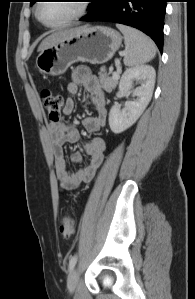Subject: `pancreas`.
Returning <instances> with one entry per match:
<instances>
[{
    "label": "pancreas",
    "instance_id": "obj_1",
    "mask_svg": "<svg viewBox=\"0 0 195 299\" xmlns=\"http://www.w3.org/2000/svg\"><path fill=\"white\" fill-rule=\"evenodd\" d=\"M99 77L103 89L108 92H111L116 87L119 79V78L109 77V74L106 73L105 67H101Z\"/></svg>",
    "mask_w": 195,
    "mask_h": 299
}]
</instances>
